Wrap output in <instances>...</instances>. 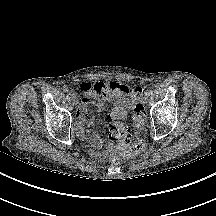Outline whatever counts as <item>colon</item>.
Segmentation results:
<instances>
[{
  "label": "colon",
  "mask_w": 216,
  "mask_h": 216,
  "mask_svg": "<svg viewBox=\"0 0 216 216\" xmlns=\"http://www.w3.org/2000/svg\"><path fill=\"white\" fill-rule=\"evenodd\" d=\"M84 95H92L96 92V87L92 84L85 83L81 86ZM144 90L141 87H135L131 91L133 99V124L131 127L122 122H110L107 125L109 132L107 148L112 152L111 160L114 164H119L141 152L145 143L141 140L136 132L140 130L146 119V112L141 104Z\"/></svg>",
  "instance_id": "obj_1"
}]
</instances>
